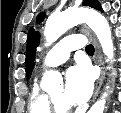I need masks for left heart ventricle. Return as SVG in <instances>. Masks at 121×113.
Instances as JSON below:
<instances>
[{
  "label": "left heart ventricle",
  "instance_id": "left-heart-ventricle-1",
  "mask_svg": "<svg viewBox=\"0 0 121 113\" xmlns=\"http://www.w3.org/2000/svg\"><path fill=\"white\" fill-rule=\"evenodd\" d=\"M52 97L61 105H69L64 97L63 87L55 88L51 93Z\"/></svg>",
  "mask_w": 121,
  "mask_h": 113
}]
</instances>
